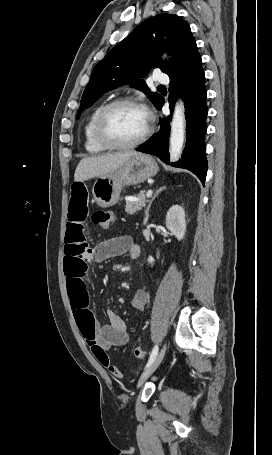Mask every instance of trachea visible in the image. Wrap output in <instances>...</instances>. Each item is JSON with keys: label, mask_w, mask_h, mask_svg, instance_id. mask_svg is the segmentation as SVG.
<instances>
[{"label": "trachea", "mask_w": 272, "mask_h": 455, "mask_svg": "<svg viewBox=\"0 0 272 455\" xmlns=\"http://www.w3.org/2000/svg\"><path fill=\"white\" fill-rule=\"evenodd\" d=\"M158 87H159V88H164L165 86H163V85H159Z\"/></svg>", "instance_id": "3493384b"}]
</instances>
